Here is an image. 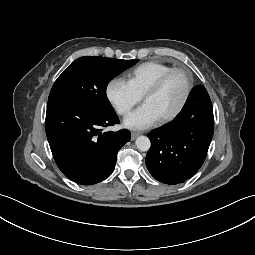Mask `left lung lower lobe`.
<instances>
[{
    "instance_id": "obj_1",
    "label": "left lung lower lobe",
    "mask_w": 255,
    "mask_h": 255,
    "mask_svg": "<svg viewBox=\"0 0 255 255\" xmlns=\"http://www.w3.org/2000/svg\"><path fill=\"white\" fill-rule=\"evenodd\" d=\"M213 131L210 97L197 85L175 119L148 134L151 148L145 162L151 175L169 185L190 179L204 163Z\"/></svg>"
}]
</instances>
